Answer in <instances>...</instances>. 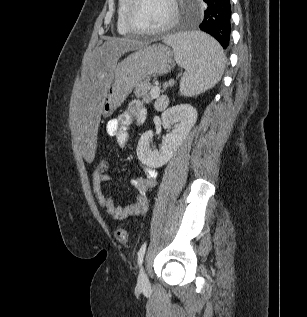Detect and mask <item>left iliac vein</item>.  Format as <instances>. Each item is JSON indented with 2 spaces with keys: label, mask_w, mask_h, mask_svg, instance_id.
I'll use <instances>...</instances> for the list:
<instances>
[{
  "label": "left iliac vein",
  "mask_w": 307,
  "mask_h": 317,
  "mask_svg": "<svg viewBox=\"0 0 307 317\" xmlns=\"http://www.w3.org/2000/svg\"><path fill=\"white\" fill-rule=\"evenodd\" d=\"M138 287L141 289H148L150 287V283L144 269H141L139 272Z\"/></svg>",
  "instance_id": "left-iliac-vein-1"
}]
</instances>
